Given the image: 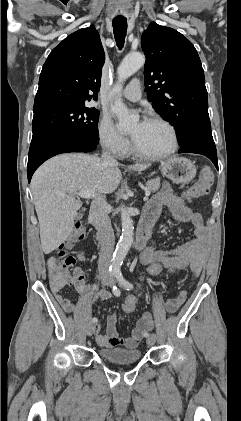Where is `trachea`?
Listing matches in <instances>:
<instances>
[{"instance_id": "3493384b", "label": "trachea", "mask_w": 241, "mask_h": 421, "mask_svg": "<svg viewBox=\"0 0 241 421\" xmlns=\"http://www.w3.org/2000/svg\"><path fill=\"white\" fill-rule=\"evenodd\" d=\"M113 32L114 38L119 49H122L125 42L127 32V20L126 19H113Z\"/></svg>"}]
</instances>
